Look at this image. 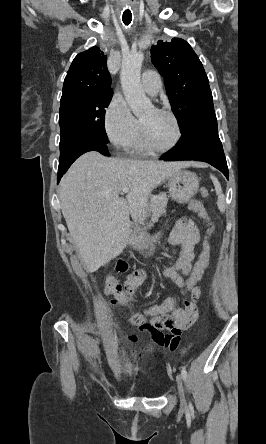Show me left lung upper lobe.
<instances>
[{
    "instance_id": "5c2ea615",
    "label": "left lung upper lobe",
    "mask_w": 266,
    "mask_h": 444,
    "mask_svg": "<svg viewBox=\"0 0 266 444\" xmlns=\"http://www.w3.org/2000/svg\"><path fill=\"white\" fill-rule=\"evenodd\" d=\"M151 59L164 77L166 93L182 131L196 119L214 112L203 65L185 40L159 41L152 46Z\"/></svg>"
}]
</instances>
